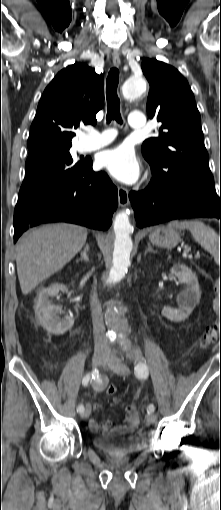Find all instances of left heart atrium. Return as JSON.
<instances>
[{
  "label": "left heart atrium",
  "mask_w": 221,
  "mask_h": 510,
  "mask_svg": "<svg viewBox=\"0 0 221 510\" xmlns=\"http://www.w3.org/2000/svg\"><path fill=\"white\" fill-rule=\"evenodd\" d=\"M100 167L124 183L134 182L139 175V165L133 151L120 146L102 153L98 159Z\"/></svg>",
  "instance_id": "39dd6f15"
}]
</instances>
